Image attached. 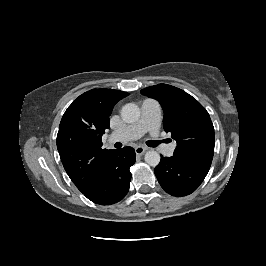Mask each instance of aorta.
I'll return each mask as SVG.
<instances>
[{
	"mask_svg": "<svg viewBox=\"0 0 266 266\" xmlns=\"http://www.w3.org/2000/svg\"><path fill=\"white\" fill-rule=\"evenodd\" d=\"M121 117L127 123H134L140 118V109L134 103H128L122 107ZM145 162L150 166H157L160 162V155L156 151H148L144 156Z\"/></svg>",
	"mask_w": 266,
	"mask_h": 266,
	"instance_id": "obj_1",
	"label": "aorta"
}]
</instances>
